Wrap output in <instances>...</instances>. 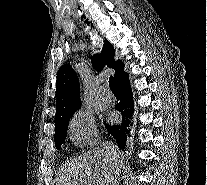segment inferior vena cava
Returning <instances> with one entry per match:
<instances>
[{
	"label": "inferior vena cava",
	"instance_id": "602c4592",
	"mask_svg": "<svg viewBox=\"0 0 207 185\" xmlns=\"http://www.w3.org/2000/svg\"><path fill=\"white\" fill-rule=\"evenodd\" d=\"M106 149H111V151H114V147H106Z\"/></svg>",
	"mask_w": 207,
	"mask_h": 185
}]
</instances>
